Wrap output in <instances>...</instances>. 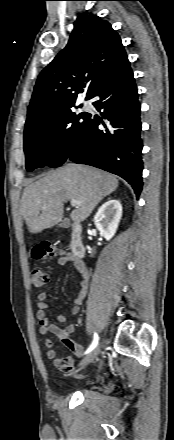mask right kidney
<instances>
[{"mask_svg": "<svg viewBox=\"0 0 174 440\" xmlns=\"http://www.w3.org/2000/svg\"><path fill=\"white\" fill-rule=\"evenodd\" d=\"M122 216V205L116 199L105 202L94 217V223L100 234L109 241L116 233Z\"/></svg>", "mask_w": 174, "mask_h": 440, "instance_id": "obj_1", "label": "right kidney"}]
</instances>
